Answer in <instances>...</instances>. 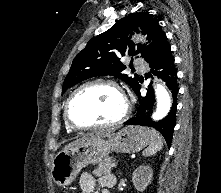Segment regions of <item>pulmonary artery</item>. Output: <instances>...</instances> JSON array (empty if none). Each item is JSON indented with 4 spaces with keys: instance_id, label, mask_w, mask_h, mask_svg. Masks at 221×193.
<instances>
[{
    "instance_id": "obj_1",
    "label": "pulmonary artery",
    "mask_w": 221,
    "mask_h": 193,
    "mask_svg": "<svg viewBox=\"0 0 221 193\" xmlns=\"http://www.w3.org/2000/svg\"><path fill=\"white\" fill-rule=\"evenodd\" d=\"M135 65H136L137 69L140 71H144L146 69V65L143 64L142 61L139 59L135 60Z\"/></svg>"
}]
</instances>
